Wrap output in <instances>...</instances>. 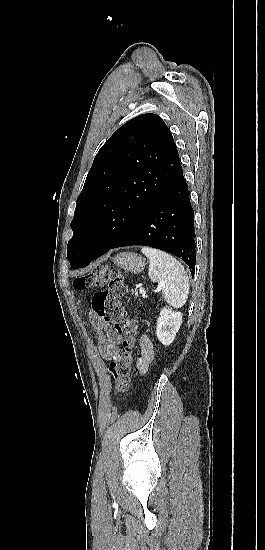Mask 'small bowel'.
Here are the masks:
<instances>
[{
	"mask_svg": "<svg viewBox=\"0 0 265 550\" xmlns=\"http://www.w3.org/2000/svg\"><path fill=\"white\" fill-rule=\"evenodd\" d=\"M90 321L97 337V346L101 357L107 361L111 360L120 351L119 344L122 342V336L114 332L110 325L96 313L91 314ZM140 347L141 356L137 362V367L143 373L153 361L155 354L152 342L146 336L141 338Z\"/></svg>",
	"mask_w": 265,
	"mask_h": 550,
	"instance_id": "1",
	"label": "small bowel"
}]
</instances>
